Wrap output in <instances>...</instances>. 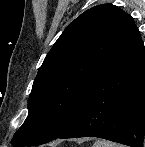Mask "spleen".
<instances>
[{
	"label": "spleen",
	"mask_w": 145,
	"mask_h": 147,
	"mask_svg": "<svg viewBox=\"0 0 145 147\" xmlns=\"http://www.w3.org/2000/svg\"><path fill=\"white\" fill-rule=\"evenodd\" d=\"M93 147H116V145L112 142L103 141V140H97Z\"/></svg>",
	"instance_id": "spleen-1"
}]
</instances>
